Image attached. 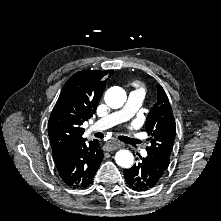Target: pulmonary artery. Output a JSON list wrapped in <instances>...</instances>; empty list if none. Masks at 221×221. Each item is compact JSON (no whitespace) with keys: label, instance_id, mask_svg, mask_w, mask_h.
Listing matches in <instances>:
<instances>
[{"label":"pulmonary artery","instance_id":"pulmonary-artery-1","mask_svg":"<svg viewBox=\"0 0 221 221\" xmlns=\"http://www.w3.org/2000/svg\"><path fill=\"white\" fill-rule=\"evenodd\" d=\"M143 99L144 94L142 90L137 89L132 91L128 96V100L124 108L99 119L91 127V129L104 130L128 120L141 106ZM143 154L146 155V152H144Z\"/></svg>","mask_w":221,"mask_h":221}]
</instances>
